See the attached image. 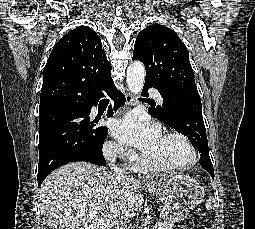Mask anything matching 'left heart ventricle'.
Returning <instances> with one entry per match:
<instances>
[{
	"label": "left heart ventricle",
	"mask_w": 255,
	"mask_h": 229,
	"mask_svg": "<svg viewBox=\"0 0 255 229\" xmlns=\"http://www.w3.org/2000/svg\"><path fill=\"white\" fill-rule=\"evenodd\" d=\"M145 155L153 161L170 166H180L188 163L191 153L188 147L178 139L160 136L152 149Z\"/></svg>",
	"instance_id": "1"
}]
</instances>
